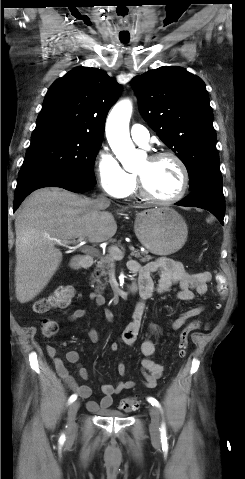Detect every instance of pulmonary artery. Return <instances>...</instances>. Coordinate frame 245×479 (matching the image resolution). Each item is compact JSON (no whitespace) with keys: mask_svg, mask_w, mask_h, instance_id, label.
Wrapping results in <instances>:
<instances>
[{"mask_svg":"<svg viewBox=\"0 0 245 479\" xmlns=\"http://www.w3.org/2000/svg\"><path fill=\"white\" fill-rule=\"evenodd\" d=\"M133 141L141 146H146L149 142V131L140 124H134L130 130Z\"/></svg>","mask_w":245,"mask_h":479,"instance_id":"e3ab8cb5","label":"pulmonary artery"}]
</instances>
